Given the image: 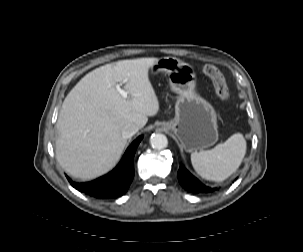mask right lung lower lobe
Returning a JSON list of instances; mask_svg holds the SVG:
<instances>
[{"label": "right lung lower lobe", "instance_id": "obj_1", "mask_svg": "<svg viewBox=\"0 0 303 252\" xmlns=\"http://www.w3.org/2000/svg\"><path fill=\"white\" fill-rule=\"evenodd\" d=\"M143 136L138 137L126 150L119 165L107 175L87 183H75L69 177L71 185L80 192L96 198H115L123 195L134 177L133 158Z\"/></svg>", "mask_w": 303, "mask_h": 252}]
</instances>
